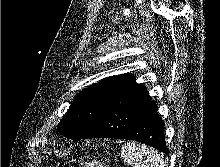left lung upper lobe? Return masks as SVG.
<instances>
[{"instance_id":"obj_1","label":"left lung upper lobe","mask_w":220,"mask_h":167,"mask_svg":"<svg viewBox=\"0 0 220 167\" xmlns=\"http://www.w3.org/2000/svg\"><path fill=\"white\" fill-rule=\"evenodd\" d=\"M133 82V75L122 74L104 78L84 89L58 124L59 133L74 142L79 141L116 96Z\"/></svg>"}]
</instances>
